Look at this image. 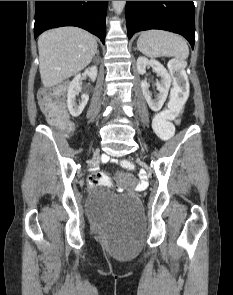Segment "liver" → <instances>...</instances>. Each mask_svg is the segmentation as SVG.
<instances>
[{
	"mask_svg": "<svg viewBox=\"0 0 233 295\" xmlns=\"http://www.w3.org/2000/svg\"><path fill=\"white\" fill-rule=\"evenodd\" d=\"M39 71L45 88L83 70L97 52L96 38L77 27L48 30L38 38Z\"/></svg>",
	"mask_w": 233,
	"mask_h": 295,
	"instance_id": "obj_1",
	"label": "liver"
}]
</instances>
